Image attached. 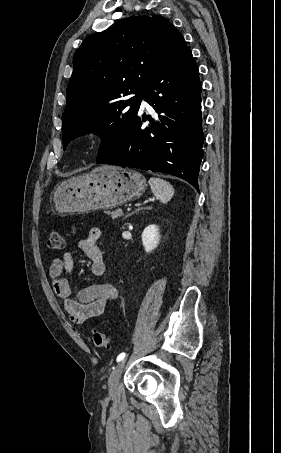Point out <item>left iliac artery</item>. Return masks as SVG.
I'll list each match as a JSON object with an SVG mask.
<instances>
[{"label": "left iliac artery", "mask_w": 281, "mask_h": 453, "mask_svg": "<svg viewBox=\"0 0 281 453\" xmlns=\"http://www.w3.org/2000/svg\"><path fill=\"white\" fill-rule=\"evenodd\" d=\"M125 358V353H121L118 357H117V362L123 360Z\"/></svg>", "instance_id": "1"}]
</instances>
